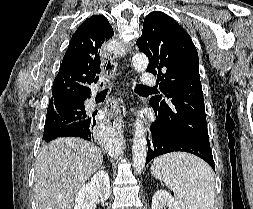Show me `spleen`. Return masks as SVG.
<instances>
[{
	"mask_svg": "<svg viewBox=\"0 0 253 209\" xmlns=\"http://www.w3.org/2000/svg\"><path fill=\"white\" fill-rule=\"evenodd\" d=\"M151 174L174 192L180 209H214V173L200 158L166 154L154 160Z\"/></svg>",
	"mask_w": 253,
	"mask_h": 209,
	"instance_id": "obj_1",
	"label": "spleen"
}]
</instances>
